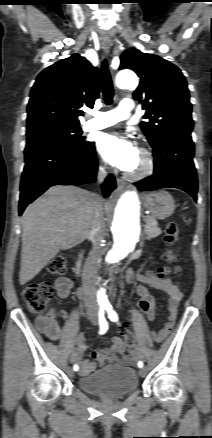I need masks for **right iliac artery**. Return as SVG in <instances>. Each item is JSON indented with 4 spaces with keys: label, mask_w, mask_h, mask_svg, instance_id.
I'll list each match as a JSON object with an SVG mask.
<instances>
[{
    "label": "right iliac artery",
    "mask_w": 212,
    "mask_h": 438,
    "mask_svg": "<svg viewBox=\"0 0 212 438\" xmlns=\"http://www.w3.org/2000/svg\"><path fill=\"white\" fill-rule=\"evenodd\" d=\"M99 325H100L99 334H104L108 329V323H107L105 316H104V309H100V311H99ZM73 370L78 371L79 366L75 364L73 366Z\"/></svg>",
    "instance_id": "right-iliac-artery-1"
}]
</instances>
